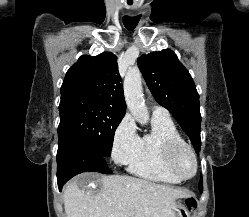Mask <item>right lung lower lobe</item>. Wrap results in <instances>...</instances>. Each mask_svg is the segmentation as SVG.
Wrapping results in <instances>:
<instances>
[{
  "mask_svg": "<svg viewBox=\"0 0 249 217\" xmlns=\"http://www.w3.org/2000/svg\"><path fill=\"white\" fill-rule=\"evenodd\" d=\"M106 158L99 156L89 146L68 136L59 138L57 152L58 187L62 186L73 176L86 172L111 174L105 162Z\"/></svg>",
  "mask_w": 249,
  "mask_h": 217,
  "instance_id": "obj_1",
  "label": "right lung lower lobe"
}]
</instances>
